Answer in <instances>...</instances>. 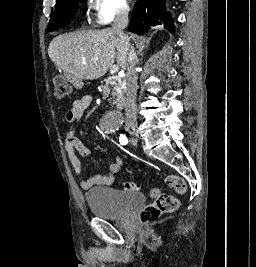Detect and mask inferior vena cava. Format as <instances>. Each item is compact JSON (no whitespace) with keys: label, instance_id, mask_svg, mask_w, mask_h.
<instances>
[{"label":"inferior vena cava","instance_id":"602c4592","mask_svg":"<svg viewBox=\"0 0 256 267\" xmlns=\"http://www.w3.org/2000/svg\"><path fill=\"white\" fill-rule=\"evenodd\" d=\"M130 12L129 6H121L120 10H118L116 14V18L112 24L113 32H116L117 36L120 38H124L126 42H130L127 34H124L123 30L127 28L128 22V14ZM138 60L135 54V48L130 46V50L128 52V64H127V72L125 76L126 80V100H125V126L126 128H136L137 126V108H136V94H137V80L138 74L136 72Z\"/></svg>","mask_w":256,"mask_h":267}]
</instances>
